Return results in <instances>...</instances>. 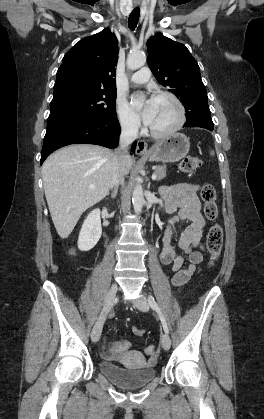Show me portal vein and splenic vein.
<instances>
[{
  "instance_id": "1",
  "label": "portal vein and splenic vein",
  "mask_w": 264,
  "mask_h": 419,
  "mask_svg": "<svg viewBox=\"0 0 264 419\" xmlns=\"http://www.w3.org/2000/svg\"><path fill=\"white\" fill-rule=\"evenodd\" d=\"M156 178H157V175L154 173V174L152 175V179H153V180H156ZM89 187H90V188H94V185H90Z\"/></svg>"
}]
</instances>
